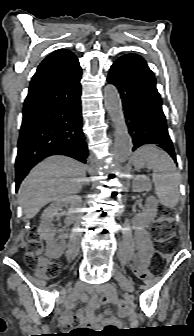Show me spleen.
Returning <instances> with one entry per match:
<instances>
[{"label": "spleen", "instance_id": "obj_1", "mask_svg": "<svg viewBox=\"0 0 194 336\" xmlns=\"http://www.w3.org/2000/svg\"><path fill=\"white\" fill-rule=\"evenodd\" d=\"M135 168L153 170V182L158 201L167 208L174 209L179 200L180 177L171 157L152 145L139 148L133 156Z\"/></svg>", "mask_w": 194, "mask_h": 336}]
</instances>
